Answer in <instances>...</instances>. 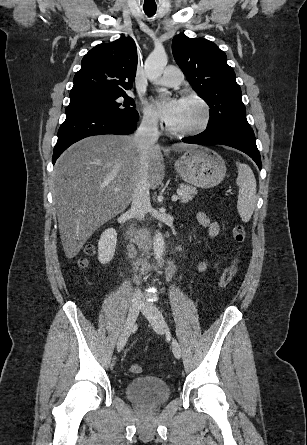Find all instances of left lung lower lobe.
I'll list each match as a JSON object with an SVG mask.
<instances>
[{
  "label": "left lung lower lobe",
  "instance_id": "left-lung-lower-lobe-1",
  "mask_svg": "<svg viewBox=\"0 0 307 445\" xmlns=\"http://www.w3.org/2000/svg\"><path fill=\"white\" fill-rule=\"evenodd\" d=\"M182 141L192 144L227 145L246 153L256 162L259 169L262 167L254 132L250 126L223 125L214 129H206L195 136L185 137Z\"/></svg>",
  "mask_w": 307,
  "mask_h": 445
}]
</instances>
